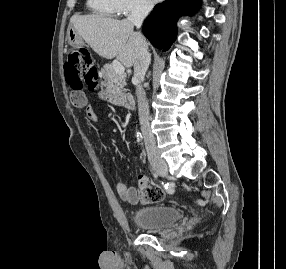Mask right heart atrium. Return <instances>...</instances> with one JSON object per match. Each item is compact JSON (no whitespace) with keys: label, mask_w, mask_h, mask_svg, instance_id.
I'll return each instance as SVG.
<instances>
[{"label":"right heart atrium","mask_w":286,"mask_h":269,"mask_svg":"<svg viewBox=\"0 0 286 269\" xmlns=\"http://www.w3.org/2000/svg\"><path fill=\"white\" fill-rule=\"evenodd\" d=\"M117 10L120 15L146 14L152 9L149 0H116Z\"/></svg>","instance_id":"d8ad5b80"}]
</instances>
